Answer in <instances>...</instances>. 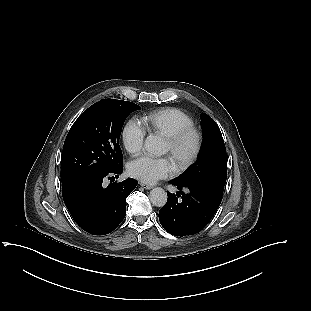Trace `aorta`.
Wrapping results in <instances>:
<instances>
[{
	"label": "aorta",
	"mask_w": 311,
	"mask_h": 311,
	"mask_svg": "<svg viewBox=\"0 0 311 311\" xmlns=\"http://www.w3.org/2000/svg\"><path fill=\"white\" fill-rule=\"evenodd\" d=\"M144 148L148 153L156 156L165 153L163 141L155 135H149L146 138ZM150 201L156 207H163L167 202V193L163 188L155 187L150 191Z\"/></svg>",
	"instance_id": "762f6f07"
}]
</instances>
